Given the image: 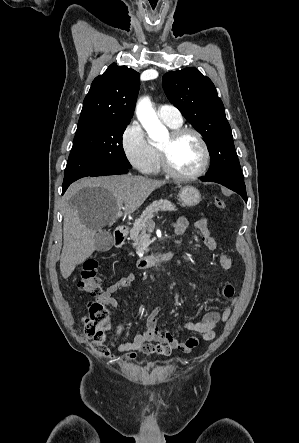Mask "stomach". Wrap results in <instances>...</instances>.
Returning a JSON list of instances; mask_svg holds the SVG:
<instances>
[{
  "label": "stomach",
  "mask_w": 299,
  "mask_h": 443,
  "mask_svg": "<svg viewBox=\"0 0 299 443\" xmlns=\"http://www.w3.org/2000/svg\"><path fill=\"white\" fill-rule=\"evenodd\" d=\"M179 200L183 206L193 207L201 201L199 190L193 186H184L179 190Z\"/></svg>",
  "instance_id": "0dacf381"
}]
</instances>
